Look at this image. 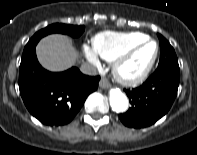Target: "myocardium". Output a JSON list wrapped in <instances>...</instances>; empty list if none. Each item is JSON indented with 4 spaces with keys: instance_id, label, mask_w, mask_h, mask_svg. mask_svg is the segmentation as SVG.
<instances>
[{
    "instance_id": "obj_1",
    "label": "myocardium",
    "mask_w": 197,
    "mask_h": 155,
    "mask_svg": "<svg viewBox=\"0 0 197 155\" xmlns=\"http://www.w3.org/2000/svg\"><path fill=\"white\" fill-rule=\"evenodd\" d=\"M154 44L155 49L152 58L148 64L136 74H128L124 71L125 64L130 60V58L144 45ZM159 53V46L157 42L149 37L144 40L137 42L136 44L127 48L123 53H121L115 60L113 64V75L114 78L121 84L125 86H136L147 79L150 75Z\"/></svg>"
}]
</instances>
